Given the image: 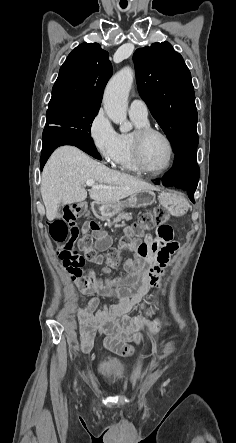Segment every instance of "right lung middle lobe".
<instances>
[{"label":"right lung middle lobe","instance_id":"1","mask_svg":"<svg viewBox=\"0 0 236 443\" xmlns=\"http://www.w3.org/2000/svg\"><path fill=\"white\" fill-rule=\"evenodd\" d=\"M98 110L99 108L84 107L69 102L49 104L45 129L67 128L66 131L69 133L91 139L89 134L91 124Z\"/></svg>","mask_w":236,"mask_h":443}]
</instances>
